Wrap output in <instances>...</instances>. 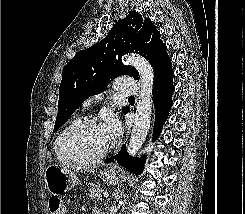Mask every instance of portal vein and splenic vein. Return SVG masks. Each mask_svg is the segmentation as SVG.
<instances>
[{"mask_svg": "<svg viewBox=\"0 0 245 214\" xmlns=\"http://www.w3.org/2000/svg\"><path fill=\"white\" fill-rule=\"evenodd\" d=\"M103 196L108 198L109 197V194L108 193H103Z\"/></svg>", "mask_w": 245, "mask_h": 214, "instance_id": "obj_1", "label": "portal vein and splenic vein"}]
</instances>
